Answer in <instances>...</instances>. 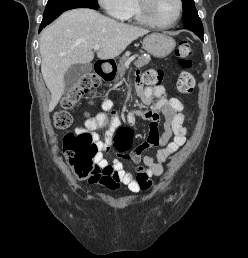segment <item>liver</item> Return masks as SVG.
I'll return each mask as SVG.
<instances>
[{
	"instance_id": "1",
	"label": "liver",
	"mask_w": 248,
	"mask_h": 258,
	"mask_svg": "<svg viewBox=\"0 0 248 258\" xmlns=\"http://www.w3.org/2000/svg\"><path fill=\"white\" fill-rule=\"evenodd\" d=\"M148 30L120 23L88 8L64 12L46 27L40 38L41 72L51 92L49 111H53L65 90L64 74L73 64L94 59L93 48L99 44L98 58L119 56L135 39Z\"/></svg>"
}]
</instances>
